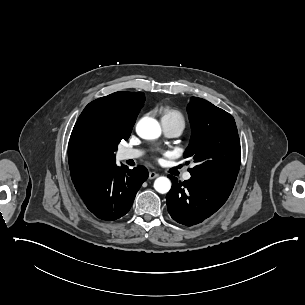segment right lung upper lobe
<instances>
[{
    "mask_svg": "<svg viewBox=\"0 0 305 305\" xmlns=\"http://www.w3.org/2000/svg\"><path fill=\"white\" fill-rule=\"evenodd\" d=\"M142 92H115L89 103L79 116L68 145V162L73 183L115 163L109 141L131 134L144 105Z\"/></svg>",
    "mask_w": 305,
    "mask_h": 305,
    "instance_id": "1",
    "label": "right lung upper lobe"
}]
</instances>
